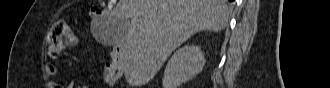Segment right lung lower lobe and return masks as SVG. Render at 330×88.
<instances>
[{"instance_id": "right-lung-lower-lobe-1", "label": "right lung lower lobe", "mask_w": 330, "mask_h": 88, "mask_svg": "<svg viewBox=\"0 0 330 88\" xmlns=\"http://www.w3.org/2000/svg\"><path fill=\"white\" fill-rule=\"evenodd\" d=\"M230 2H233L234 0H229Z\"/></svg>"}]
</instances>
